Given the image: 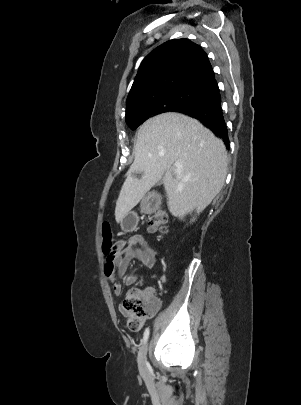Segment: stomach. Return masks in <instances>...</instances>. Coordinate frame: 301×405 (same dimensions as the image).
Returning <instances> with one entry per match:
<instances>
[{
  "label": "stomach",
  "mask_w": 301,
  "mask_h": 405,
  "mask_svg": "<svg viewBox=\"0 0 301 405\" xmlns=\"http://www.w3.org/2000/svg\"><path fill=\"white\" fill-rule=\"evenodd\" d=\"M137 220V216L134 213L130 212L121 221V226L123 229H128L132 224H135Z\"/></svg>",
  "instance_id": "0dacf381"
}]
</instances>
